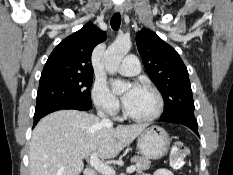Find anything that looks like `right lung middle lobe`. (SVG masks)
<instances>
[{"instance_id": "dd1d6c3e", "label": "right lung middle lobe", "mask_w": 233, "mask_h": 175, "mask_svg": "<svg viewBox=\"0 0 233 175\" xmlns=\"http://www.w3.org/2000/svg\"><path fill=\"white\" fill-rule=\"evenodd\" d=\"M90 74L58 75L40 78L36 110L56 104L91 106Z\"/></svg>"}]
</instances>
